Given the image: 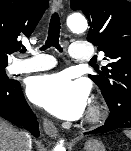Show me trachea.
<instances>
[{"instance_id": "trachea-1", "label": "trachea", "mask_w": 131, "mask_h": 151, "mask_svg": "<svg viewBox=\"0 0 131 151\" xmlns=\"http://www.w3.org/2000/svg\"><path fill=\"white\" fill-rule=\"evenodd\" d=\"M59 37H60V18L59 15L55 12L50 20L47 40L45 42V45H43L42 48H40V50H46L47 48L55 47L60 52H62L63 49L59 45ZM20 52L25 53L26 49H22Z\"/></svg>"}]
</instances>
